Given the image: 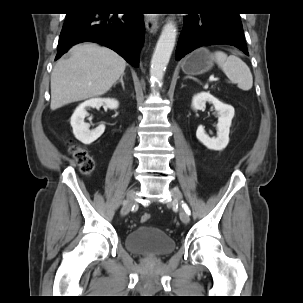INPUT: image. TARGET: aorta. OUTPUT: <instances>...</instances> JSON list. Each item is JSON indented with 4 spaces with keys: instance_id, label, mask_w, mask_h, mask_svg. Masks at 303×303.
<instances>
[{
    "instance_id": "aorta-1",
    "label": "aorta",
    "mask_w": 303,
    "mask_h": 303,
    "mask_svg": "<svg viewBox=\"0 0 303 303\" xmlns=\"http://www.w3.org/2000/svg\"><path fill=\"white\" fill-rule=\"evenodd\" d=\"M176 36L177 29L174 22L168 21L162 29L151 59L150 77L153 83H161L163 80L166 67L175 46Z\"/></svg>"
}]
</instances>
